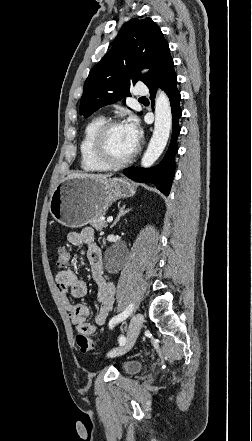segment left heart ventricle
<instances>
[{"label": "left heart ventricle", "mask_w": 252, "mask_h": 441, "mask_svg": "<svg viewBox=\"0 0 252 441\" xmlns=\"http://www.w3.org/2000/svg\"><path fill=\"white\" fill-rule=\"evenodd\" d=\"M105 149L109 158L120 161L129 156L134 150L129 142L124 125L112 128L105 138Z\"/></svg>", "instance_id": "left-heart-ventricle-1"}]
</instances>
